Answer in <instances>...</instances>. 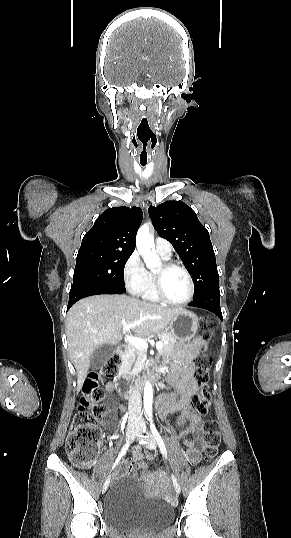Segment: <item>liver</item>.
Returning <instances> with one entry per match:
<instances>
[{
	"mask_svg": "<svg viewBox=\"0 0 291 538\" xmlns=\"http://www.w3.org/2000/svg\"><path fill=\"white\" fill-rule=\"evenodd\" d=\"M182 311L126 295L91 296L74 304L67 314L66 334L69 356L77 371V392L82 388L94 351L104 344H119L124 324L137 323L132 331L137 336L150 337L166 328Z\"/></svg>",
	"mask_w": 291,
	"mask_h": 538,
	"instance_id": "6515ba94",
	"label": "liver"
}]
</instances>
